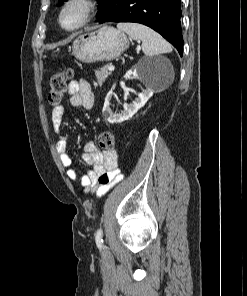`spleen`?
<instances>
[{
	"mask_svg": "<svg viewBox=\"0 0 247 296\" xmlns=\"http://www.w3.org/2000/svg\"><path fill=\"white\" fill-rule=\"evenodd\" d=\"M117 28L130 38L142 41V50L147 57L172 51L171 45L157 32L138 23H118Z\"/></svg>",
	"mask_w": 247,
	"mask_h": 296,
	"instance_id": "spleen-1",
	"label": "spleen"
}]
</instances>
